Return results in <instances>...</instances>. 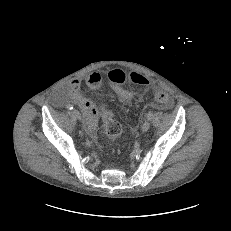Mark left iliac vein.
I'll use <instances>...</instances> for the list:
<instances>
[{
    "label": "left iliac vein",
    "mask_w": 231,
    "mask_h": 231,
    "mask_svg": "<svg viewBox=\"0 0 231 231\" xmlns=\"http://www.w3.org/2000/svg\"><path fill=\"white\" fill-rule=\"evenodd\" d=\"M149 128H150V122L149 121H145L143 123V125H142L141 130H142V132H147L149 130Z\"/></svg>",
    "instance_id": "left-iliac-vein-1"
}]
</instances>
